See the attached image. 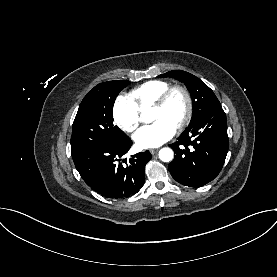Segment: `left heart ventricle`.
Listing matches in <instances>:
<instances>
[{
    "label": "left heart ventricle",
    "mask_w": 277,
    "mask_h": 277,
    "mask_svg": "<svg viewBox=\"0 0 277 277\" xmlns=\"http://www.w3.org/2000/svg\"><path fill=\"white\" fill-rule=\"evenodd\" d=\"M185 110L186 101L183 94L180 92H174L163 108L151 110V120L156 121L162 119L177 126L182 119Z\"/></svg>",
    "instance_id": "left-heart-ventricle-1"
}]
</instances>
